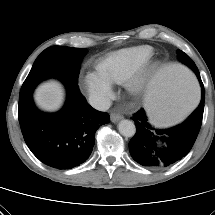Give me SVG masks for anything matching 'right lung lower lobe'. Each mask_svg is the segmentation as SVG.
Returning a JSON list of instances; mask_svg holds the SVG:
<instances>
[{
  "instance_id": "right-lung-lower-lobe-1",
  "label": "right lung lower lobe",
  "mask_w": 215,
  "mask_h": 215,
  "mask_svg": "<svg viewBox=\"0 0 215 215\" xmlns=\"http://www.w3.org/2000/svg\"><path fill=\"white\" fill-rule=\"evenodd\" d=\"M67 99L56 113H44L34 105L19 120L24 140L44 164L71 169L85 162L95 143L97 129L110 121L105 112L92 108L80 93L78 83L66 85Z\"/></svg>"
}]
</instances>
